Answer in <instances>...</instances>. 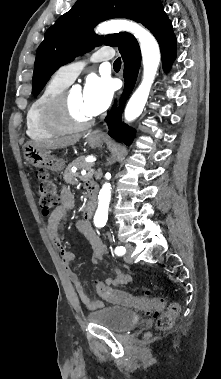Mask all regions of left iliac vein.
Segmentation results:
<instances>
[{
    "instance_id": "obj_1",
    "label": "left iliac vein",
    "mask_w": 221,
    "mask_h": 379,
    "mask_svg": "<svg viewBox=\"0 0 221 379\" xmlns=\"http://www.w3.org/2000/svg\"><path fill=\"white\" fill-rule=\"evenodd\" d=\"M126 250H127V252H126V254L124 256V259H125V261L127 263L132 264L133 263V259L131 257V253L133 251V247L131 245H126Z\"/></svg>"
}]
</instances>
